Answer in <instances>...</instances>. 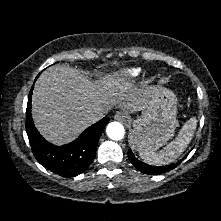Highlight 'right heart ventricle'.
Wrapping results in <instances>:
<instances>
[{"instance_id": "right-heart-ventricle-1", "label": "right heart ventricle", "mask_w": 221, "mask_h": 221, "mask_svg": "<svg viewBox=\"0 0 221 221\" xmlns=\"http://www.w3.org/2000/svg\"><path fill=\"white\" fill-rule=\"evenodd\" d=\"M141 74V70L139 68H127L121 71L119 77L125 81H134Z\"/></svg>"}]
</instances>
